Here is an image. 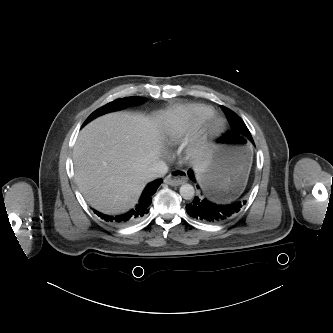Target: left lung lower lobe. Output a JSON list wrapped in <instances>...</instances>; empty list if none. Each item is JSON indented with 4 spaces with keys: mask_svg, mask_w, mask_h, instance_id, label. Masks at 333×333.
Masks as SVG:
<instances>
[{
    "mask_svg": "<svg viewBox=\"0 0 333 333\" xmlns=\"http://www.w3.org/2000/svg\"><path fill=\"white\" fill-rule=\"evenodd\" d=\"M189 177L196 182L192 170L188 171ZM244 202H234L231 204H216L206 198L195 197L192 203L186 205V211L194 219L209 223H219L228 220L238 213Z\"/></svg>",
    "mask_w": 333,
    "mask_h": 333,
    "instance_id": "1",
    "label": "left lung lower lobe"
}]
</instances>
